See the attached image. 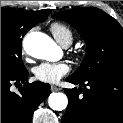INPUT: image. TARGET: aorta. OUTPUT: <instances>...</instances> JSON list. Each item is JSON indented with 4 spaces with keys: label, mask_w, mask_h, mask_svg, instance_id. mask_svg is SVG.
<instances>
[{
    "label": "aorta",
    "mask_w": 123,
    "mask_h": 123,
    "mask_svg": "<svg viewBox=\"0 0 123 123\" xmlns=\"http://www.w3.org/2000/svg\"><path fill=\"white\" fill-rule=\"evenodd\" d=\"M24 50L32 57L38 59L54 60L58 48L55 42L47 35L40 32H31L23 40ZM51 109L64 110L68 105V98L64 93H52L48 98Z\"/></svg>",
    "instance_id": "762f6f07"
}]
</instances>
